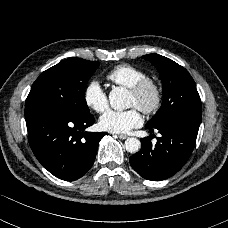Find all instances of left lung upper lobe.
<instances>
[{"label":"left lung upper lobe","instance_id":"left-lung-upper-lobe-1","mask_svg":"<svg viewBox=\"0 0 228 228\" xmlns=\"http://www.w3.org/2000/svg\"><path fill=\"white\" fill-rule=\"evenodd\" d=\"M159 71L163 102L146 127L155 128L172 118H189L201 121V100L195 82L188 71L169 58L158 54L144 55Z\"/></svg>","mask_w":228,"mask_h":228}]
</instances>
